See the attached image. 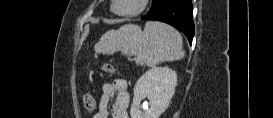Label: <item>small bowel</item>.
Returning <instances> with one entry per match:
<instances>
[{
  "label": "small bowel",
  "mask_w": 273,
  "mask_h": 118,
  "mask_svg": "<svg viewBox=\"0 0 273 118\" xmlns=\"http://www.w3.org/2000/svg\"><path fill=\"white\" fill-rule=\"evenodd\" d=\"M93 100L96 108V101L94 98ZM111 102V115L113 118H128L127 110L130 102V94L124 79H116L113 82H105L102 85V94L94 118H108Z\"/></svg>",
  "instance_id": "c3829d8e"
}]
</instances>
